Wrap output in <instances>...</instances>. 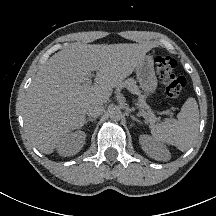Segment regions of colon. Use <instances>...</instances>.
Returning a JSON list of instances; mask_svg holds the SVG:
<instances>
[{"instance_id":"obj_1","label":"colon","mask_w":216,"mask_h":216,"mask_svg":"<svg viewBox=\"0 0 216 216\" xmlns=\"http://www.w3.org/2000/svg\"><path fill=\"white\" fill-rule=\"evenodd\" d=\"M158 76L165 84L166 94L175 98L186 86L185 78L176 72L177 61L170 56H158L155 59Z\"/></svg>"}]
</instances>
